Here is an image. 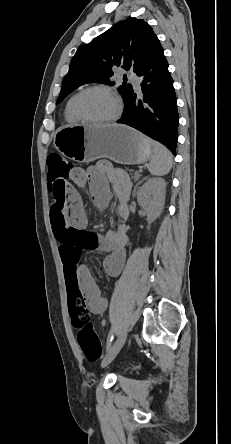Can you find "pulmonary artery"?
<instances>
[{
	"label": "pulmonary artery",
	"instance_id": "e3ab8cb5",
	"mask_svg": "<svg viewBox=\"0 0 231 444\" xmlns=\"http://www.w3.org/2000/svg\"><path fill=\"white\" fill-rule=\"evenodd\" d=\"M128 79H130L132 81V83L135 85V87L137 89H139V80L136 76L134 75H128Z\"/></svg>",
	"mask_w": 231,
	"mask_h": 444
}]
</instances>
